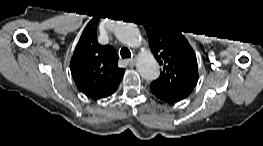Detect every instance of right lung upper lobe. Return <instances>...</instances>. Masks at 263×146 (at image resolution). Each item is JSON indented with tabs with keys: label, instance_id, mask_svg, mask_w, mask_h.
Returning a JSON list of instances; mask_svg holds the SVG:
<instances>
[{
	"label": "right lung upper lobe",
	"instance_id": "cb5924a9",
	"mask_svg": "<svg viewBox=\"0 0 263 146\" xmlns=\"http://www.w3.org/2000/svg\"><path fill=\"white\" fill-rule=\"evenodd\" d=\"M118 56L112 46L97 42V24L84 29L71 58L70 69L79 91L92 99L112 95L125 70L119 68Z\"/></svg>",
	"mask_w": 263,
	"mask_h": 146
}]
</instances>
